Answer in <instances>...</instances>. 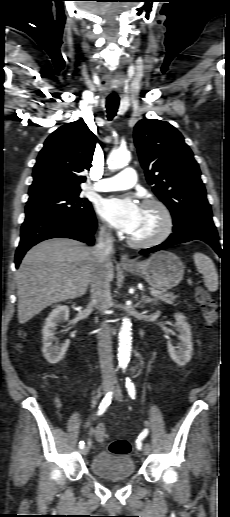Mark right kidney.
Wrapping results in <instances>:
<instances>
[{
    "mask_svg": "<svg viewBox=\"0 0 230 517\" xmlns=\"http://www.w3.org/2000/svg\"><path fill=\"white\" fill-rule=\"evenodd\" d=\"M69 318V308L64 305H59L46 318L42 329L43 334V356L50 364H55L61 361L69 347L70 341L66 340L59 344L55 337L56 327L62 321H67ZM56 341L55 344L53 342Z\"/></svg>",
    "mask_w": 230,
    "mask_h": 517,
    "instance_id": "ca27d5eb",
    "label": "right kidney"
}]
</instances>
